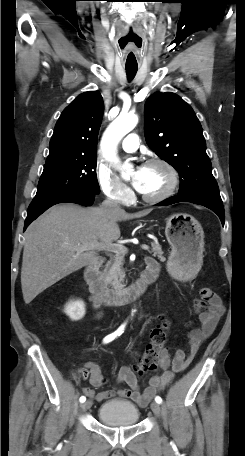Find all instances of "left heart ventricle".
<instances>
[{
	"mask_svg": "<svg viewBox=\"0 0 245 456\" xmlns=\"http://www.w3.org/2000/svg\"><path fill=\"white\" fill-rule=\"evenodd\" d=\"M169 183L170 175L163 166H146L141 170V188L139 191L149 196L157 195L163 192Z\"/></svg>",
	"mask_w": 245,
	"mask_h": 456,
	"instance_id": "left-heart-ventricle-1",
	"label": "left heart ventricle"
}]
</instances>
